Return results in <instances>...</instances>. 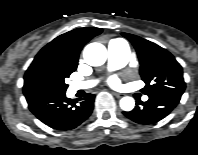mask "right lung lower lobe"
I'll return each mask as SVG.
<instances>
[{"label":"right lung lower lobe","mask_w":198,"mask_h":155,"mask_svg":"<svg viewBox=\"0 0 198 155\" xmlns=\"http://www.w3.org/2000/svg\"><path fill=\"white\" fill-rule=\"evenodd\" d=\"M95 96L87 94L80 101L66 97L65 92H47L26 96L31 112L44 124L56 130H71L92 113Z\"/></svg>","instance_id":"1"}]
</instances>
